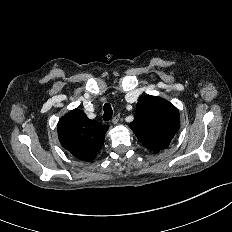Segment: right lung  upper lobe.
I'll list each match as a JSON object with an SVG mask.
<instances>
[{
    "instance_id": "obj_1",
    "label": "right lung upper lobe",
    "mask_w": 232,
    "mask_h": 232,
    "mask_svg": "<svg viewBox=\"0 0 232 232\" xmlns=\"http://www.w3.org/2000/svg\"><path fill=\"white\" fill-rule=\"evenodd\" d=\"M61 145L80 160L91 161L103 146L108 126L90 120L78 109L70 111L58 123Z\"/></svg>"
}]
</instances>
